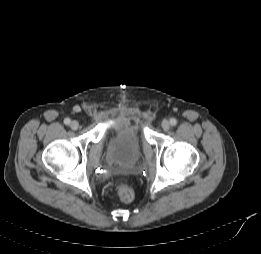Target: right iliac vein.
<instances>
[{"label":"right iliac vein","mask_w":261,"mask_h":254,"mask_svg":"<svg viewBox=\"0 0 261 254\" xmlns=\"http://www.w3.org/2000/svg\"><path fill=\"white\" fill-rule=\"evenodd\" d=\"M78 127H79V122H78V121L73 120V121L70 123V128H71L72 130H77Z\"/></svg>","instance_id":"63e3f726"}]
</instances>
